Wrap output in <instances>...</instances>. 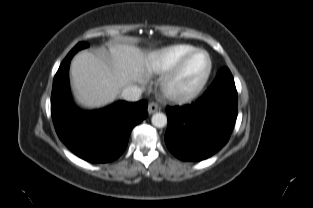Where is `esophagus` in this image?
<instances>
[{
	"mask_svg": "<svg viewBox=\"0 0 313 208\" xmlns=\"http://www.w3.org/2000/svg\"><path fill=\"white\" fill-rule=\"evenodd\" d=\"M147 110H148L149 114H153L156 111L160 110V107L156 103L152 102V103H150L148 105V109Z\"/></svg>",
	"mask_w": 313,
	"mask_h": 208,
	"instance_id": "esophagus-1",
	"label": "esophagus"
}]
</instances>
